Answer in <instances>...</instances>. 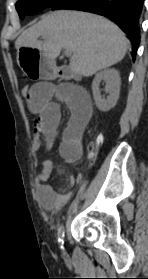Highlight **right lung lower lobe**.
Segmentation results:
<instances>
[{
	"label": "right lung lower lobe",
	"mask_w": 148,
	"mask_h": 279,
	"mask_svg": "<svg viewBox=\"0 0 148 279\" xmlns=\"http://www.w3.org/2000/svg\"><path fill=\"white\" fill-rule=\"evenodd\" d=\"M144 0H65L52 9H74L96 13L111 18L132 43V58L135 60L140 43V17Z\"/></svg>",
	"instance_id": "obj_1"
}]
</instances>
